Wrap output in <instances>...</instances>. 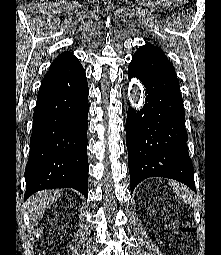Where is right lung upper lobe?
I'll list each match as a JSON object with an SVG mask.
<instances>
[{
    "instance_id": "1",
    "label": "right lung upper lobe",
    "mask_w": 221,
    "mask_h": 255,
    "mask_svg": "<svg viewBox=\"0 0 221 255\" xmlns=\"http://www.w3.org/2000/svg\"><path fill=\"white\" fill-rule=\"evenodd\" d=\"M73 57H74V56L72 55L71 52L65 51V52H63L62 54H60V55L54 60L53 64L50 66L49 69H51V68H53V67H55V66H57V65H60V64H62L63 62H65V61H67V60H69V59H71V58H73Z\"/></svg>"
}]
</instances>
